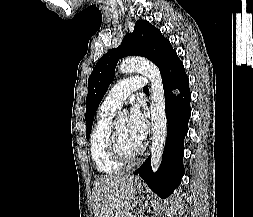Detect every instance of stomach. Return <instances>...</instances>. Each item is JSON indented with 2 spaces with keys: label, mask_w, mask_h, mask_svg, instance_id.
I'll return each instance as SVG.
<instances>
[{
  "label": "stomach",
  "mask_w": 253,
  "mask_h": 217,
  "mask_svg": "<svg viewBox=\"0 0 253 217\" xmlns=\"http://www.w3.org/2000/svg\"><path fill=\"white\" fill-rule=\"evenodd\" d=\"M134 188H135L136 192L143 190V186H142V184L140 182H135L134 183Z\"/></svg>",
  "instance_id": "1"
}]
</instances>
